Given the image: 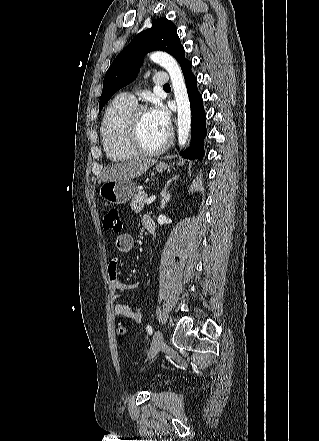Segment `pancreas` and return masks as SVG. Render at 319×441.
<instances>
[{
	"instance_id": "cf45deb5",
	"label": "pancreas",
	"mask_w": 319,
	"mask_h": 441,
	"mask_svg": "<svg viewBox=\"0 0 319 441\" xmlns=\"http://www.w3.org/2000/svg\"><path fill=\"white\" fill-rule=\"evenodd\" d=\"M147 202V193L141 189H137L133 195L130 207L135 213H139L143 210L144 205Z\"/></svg>"
}]
</instances>
